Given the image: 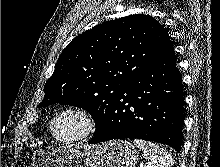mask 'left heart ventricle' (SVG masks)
<instances>
[{
  "label": "left heart ventricle",
  "mask_w": 220,
  "mask_h": 167,
  "mask_svg": "<svg viewBox=\"0 0 220 167\" xmlns=\"http://www.w3.org/2000/svg\"><path fill=\"white\" fill-rule=\"evenodd\" d=\"M82 128V122L75 115H65L55 124V134L59 137L68 138L76 135Z\"/></svg>",
  "instance_id": "b2bd125f"
}]
</instances>
